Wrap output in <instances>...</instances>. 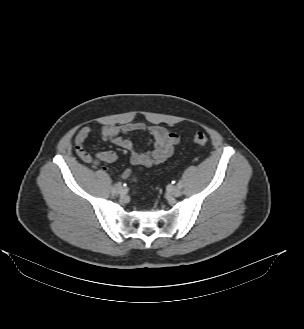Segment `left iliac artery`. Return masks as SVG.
Wrapping results in <instances>:
<instances>
[{"label": "left iliac artery", "instance_id": "obj_1", "mask_svg": "<svg viewBox=\"0 0 304 329\" xmlns=\"http://www.w3.org/2000/svg\"><path fill=\"white\" fill-rule=\"evenodd\" d=\"M177 185H178L179 188H182V182L180 180H178Z\"/></svg>", "mask_w": 304, "mask_h": 329}]
</instances>
